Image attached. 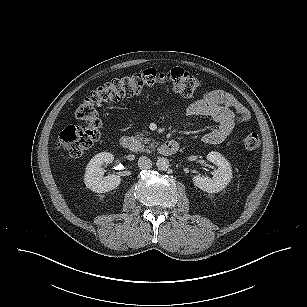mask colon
<instances>
[{"label": "colon", "instance_id": "colon-1", "mask_svg": "<svg viewBox=\"0 0 307 307\" xmlns=\"http://www.w3.org/2000/svg\"><path fill=\"white\" fill-rule=\"evenodd\" d=\"M201 82L194 74L182 69H147L115 78L94 89L76 110V117L83 124L66 127L59 138L58 148L63 156L79 157L94 146L100 137L101 119L97 108L125 97L140 96L155 90L169 89L183 97L194 95ZM241 146L257 149L261 139L257 133L241 138Z\"/></svg>", "mask_w": 307, "mask_h": 307}]
</instances>
